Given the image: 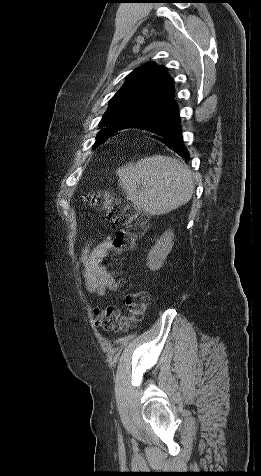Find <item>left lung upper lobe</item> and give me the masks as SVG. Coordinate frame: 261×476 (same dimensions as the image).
Masks as SVG:
<instances>
[{
  "label": "left lung upper lobe",
  "instance_id": "obj_1",
  "mask_svg": "<svg viewBox=\"0 0 261 476\" xmlns=\"http://www.w3.org/2000/svg\"><path fill=\"white\" fill-rule=\"evenodd\" d=\"M109 105L99 123L104 129L98 133L93 147L103 141L109 130L172 110L177 105L172 78L165 67L147 62L127 76Z\"/></svg>",
  "mask_w": 261,
  "mask_h": 476
}]
</instances>
